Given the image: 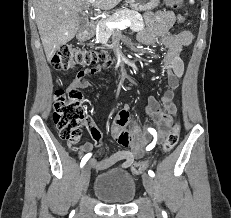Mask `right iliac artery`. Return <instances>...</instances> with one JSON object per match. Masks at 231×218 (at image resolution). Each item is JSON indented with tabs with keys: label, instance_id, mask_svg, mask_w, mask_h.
<instances>
[{
	"label": "right iliac artery",
	"instance_id": "obj_1",
	"mask_svg": "<svg viewBox=\"0 0 231 218\" xmlns=\"http://www.w3.org/2000/svg\"><path fill=\"white\" fill-rule=\"evenodd\" d=\"M91 157V154L90 153H88V154H86L83 158H82V160H81V167H83L84 165H85V163L88 161V159Z\"/></svg>",
	"mask_w": 231,
	"mask_h": 218
}]
</instances>
